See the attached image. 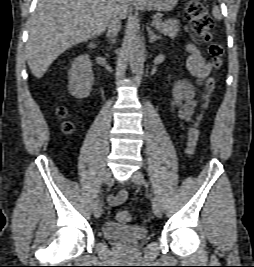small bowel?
<instances>
[{"label":"small bowel","instance_id":"obj_1","mask_svg":"<svg viewBox=\"0 0 254 267\" xmlns=\"http://www.w3.org/2000/svg\"><path fill=\"white\" fill-rule=\"evenodd\" d=\"M187 50L189 52L187 70L190 76L194 77L196 81L192 82L189 78L185 77L174 82L171 109L181 119L190 121L192 119L194 109L198 105V101L195 96L196 86L200 85L208 76L211 70V65L201 55L199 49L194 44H188ZM127 198V191L121 190L115 195L108 196L107 203L110 206H117L123 204Z\"/></svg>","mask_w":254,"mask_h":267}]
</instances>
